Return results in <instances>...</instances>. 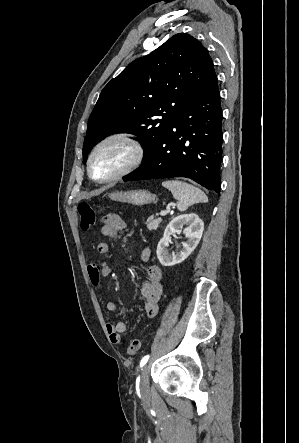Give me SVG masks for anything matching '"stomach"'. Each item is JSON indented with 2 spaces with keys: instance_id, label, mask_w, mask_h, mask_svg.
I'll return each mask as SVG.
<instances>
[{
  "instance_id": "0dacf381",
  "label": "stomach",
  "mask_w": 299,
  "mask_h": 443,
  "mask_svg": "<svg viewBox=\"0 0 299 443\" xmlns=\"http://www.w3.org/2000/svg\"><path fill=\"white\" fill-rule=\"evenodd\" d=\"M109 198L113 201L129 203L137 206L149 204L153 196L146 190H133V191H116L109 194Z\"/></svg>"
}]
</instances>
